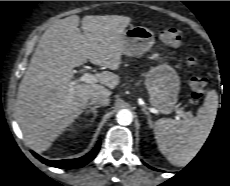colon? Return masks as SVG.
<instances>
[{"label": "colon", "instance_id": "5ec220e1", "mask_svg": "<svg viewBox=\"0 0 230 186\" xmlns=\"http://www.w3.org/2000/svg\"><path fill=\"white\" fill-rule=\"evenodd\" d=\"M160 39L167 45L179 46L182 35L178 29L167 28L160 32ZM187 62L190 66L197 69L201 66L199 58L192 54L187 57ZM190 85L193 99L200 100L206 92L207 77L204 74L198 73L192 77Z\"/></svg>", "mask_w": 230, "mask_h": 186}]
</instances>
